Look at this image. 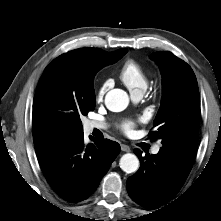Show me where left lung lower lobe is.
Returning <instances> with one entry per match:
<instances>
[{
	"mask_svg": "<svg viewBox=\"0 0 221 221\" xmlns=\"http://www.w3.org/2000/svg\"><path fill=\"white\" fill-rule=\"evenodd\" d=\"M141 162L139 170L127 180L132 200L157 208L173 199L181 189L193 166L195 152L174 145H163L156 155L134 149Z\"/></svg>",
	"mask_w": 221,
	"mask_h": 221,
	"instance_id": "0a47b994",
	"label": "left lung lower lobe"
}]
</instances>
